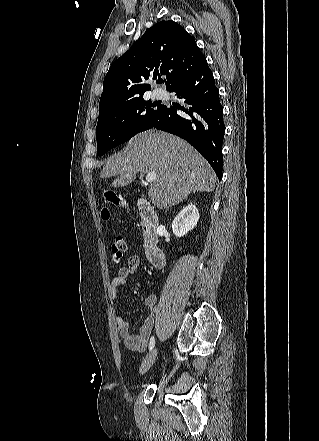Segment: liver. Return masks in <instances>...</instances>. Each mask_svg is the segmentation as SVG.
<instances>
[{"label": "liver", "instance_id": "obj_1", "mask_svg": "<svg viewBox=\"0 0 319 441\" xmlns=\"http://www.w3.org/2000/svg\"><path fill=\"white\" fill-rule=\"evenodd\" d=\"M139 171L156 172L148 196L159 209L182 202L193 192H211L217 180L209 163L190 144L157 130L133 137L123 151L106 161L100 177L118 176L113 185L124 187Z\"/></svg>", "mask_w": 319, "mask_h": 441}]
</instances>
